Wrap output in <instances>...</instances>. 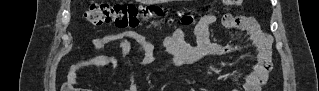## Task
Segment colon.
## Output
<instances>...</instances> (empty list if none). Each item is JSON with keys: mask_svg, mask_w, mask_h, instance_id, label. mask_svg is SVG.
I'll use <instances>...</instances> for the list:
<instances>
[{"mask_svg": "<svg viewBox=\"0 0 319 91\" xmlns=\"http://www.w3.org/2000/svg\"><path fill=\"white\" fill-rule=\"evenodd\" d=\"M225 5L232 7L241 3V0L222 1ZM167 11L160 6L139 7L127 3H95L85 12V20L92 26L114 24L121 28H134L145 22L154 26H166L175 22L167 16ZM195 18L192 14L178 12L177 22L183 26H190ZM261 63L267 69L272 66L270 46L266 44L260 55Z\"/></svg>", "mask_w": 319, "mask_h": 91, "instance_id": "1", "label": "colon"}]
</instances>
